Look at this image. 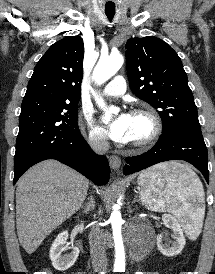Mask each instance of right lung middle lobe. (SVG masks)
Wrapping results in <instances>:
<instances>
[{
  "mask_svg": "<svg viewBox=\"0 0 215 274\" xmlns=\"http://www.w3.org/2000/svg\"><path fill=\"white\" fill-rule=\"evenodd\" d=\"M77 103L37 100L22 104L14 166L43 146L79 133Z\"/></svg>",
  "mask_w": 215,
  "mask_h": 274,
  "instance_id": "obj_1",
  "label": "right lung middle lobe"
}]
</instances>
